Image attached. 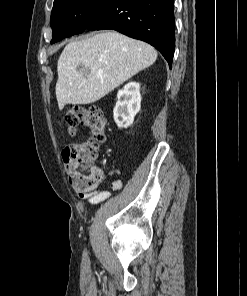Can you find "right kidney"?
Masks as SVG:
<instances>
[{
    "label": "right kidney",
    "instance_id": "right-kidney-1",
    "mask_svg": "<svg viewBox=\"0 0 247 296\" xmlns=\"http://www.w3.org/2000/svg\"><path fill=\"white\" fill-rule=\"evenodd\" d=\"M117 99L113 109L114 121L119 128H127L133 124L141 108L140 84L129 82L118 91Z\"/></svg>",
    "mask_w": 247,
    "mask_h": 296
}]
</instances>
